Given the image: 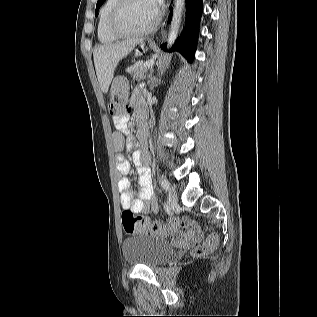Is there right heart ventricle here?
Returning <instances> with one entry per match:
<instances>
[{"mask_svg": "<svg viewBox=\"0 0 317 317\" xmlns=\"http://www.w3.org/2000/svg\"><path fill=\"white\" fill-rule=\"evenodd\" d=\"M117 0H105L99 13V20L97 26L98 39L102 43H112L118 39L117 36L113 35L108 27V20L112 8L116 4Z\"/></svg>", "mask_w": 317, "mask_h": 317, "instance_id": "right-heart-ventricle-1", "label": "right heart ventricle"}]
</instances>
